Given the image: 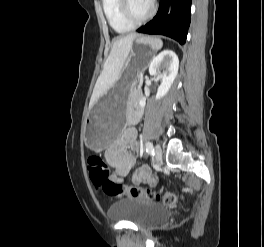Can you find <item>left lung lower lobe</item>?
Wrapping results in <instances>:
<instances>
[{"label":"left lung lower lobe","mask_w":264,"mask_h":247,"mask_svg":"<svg viewBox=\"0 0 264 247\" xmlns=\"http://www.w3.org/2000/svg\"><path fill=\"white\" fill-rule=\"evenodd\" d=\"M191 1L160 0L156 16L137 32L165 35L183 45L190 26Z\"/></svg>","instance_id":"0a47b994"}]
</instances>
